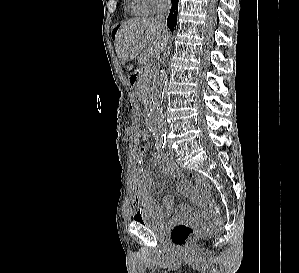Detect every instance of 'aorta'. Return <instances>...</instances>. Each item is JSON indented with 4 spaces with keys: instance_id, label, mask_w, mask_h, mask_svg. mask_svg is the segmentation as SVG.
I'll return each instance as SVG.
<instances>
[{
    "instance_id": "1",
    "label": "aorta",
    "mask_w": 299,
    "mask_h": 273,
    "mask_svg": "<svg viewBox=\"0 0 299 273\" xmlns=\"http://www.w3.org/2000/svg\"><path fill=\"white\" fill-rule=\"evenodd\" d=\"M166 81L167 73L161 70L154 78L153 104L146 114V126L158 141H163L166 136V122L160 108Z\"/></svg>"
}]
</instances>
